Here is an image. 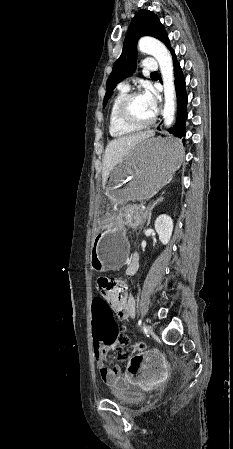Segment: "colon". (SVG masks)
Here are the masks:
<instances>
[{"label": "colon", "instance_id": "1", "mask_svg": "<svg viewBox=\"0 0 233 449\" xmlns=\"http://www.w3.org/2000/svg\"><path fill=\"white\" fill-rule=\"evenodd\" d=\"M91 309L90 330L93 334L94 349H111L114 343H117L120 347L130 345L128 336H118L116 325H113V311L110 309L108 301H92ZM144 350V343L137 342L119 353V358L129 359L127 371L130 375H135L137 368H143Z\"/></svg>", "mask_w": 233, "mask_h": 449}]
</instances>
